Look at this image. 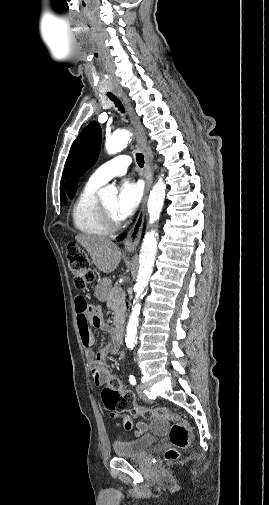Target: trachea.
<instances>
[{
  "label": "trachea",
  "mask_w": 269,
  "mask_h": 505,
  "mask_svg": "<svg viewBox=\"0 0 269 505\" xmlns=\"http://www.w3.org/2000/svg\"><path fill=\"white\" fill-rule=\"evenodd\" d=\"M107 96L112 100L114 101L116 107H118V109L124 113V107L122 105V103L118 100V98L116 96H114L112 93H107ZM136 161L138 163V165L140 167H143L144 166V156L143 154L141 153H138L136 154Z\"/></svg>",
  "instance_id": "3493384b"
}]
</instances>
